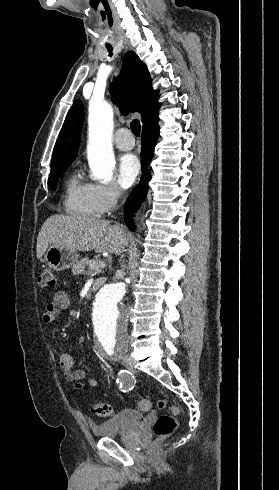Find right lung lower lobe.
<instances>
[{"instance_id":"1","label":"right lung lower lobe","mask_w":279,"mask_h":490,"mask_svg":"<svg viewBox=\"0 0 279 490\" xmlns=\"http://www.w3.org/2000/svg\"><path fill=\"white\" fill-rule=\"evenodd\" d=\"M159 136V126L153 129L144 130L142 133L141 144V163L142 176L139 184L133 189L125 203L124 220L127 226L134 231L135 226L132 221L133 212L138 209L144 201L148 192V182L150 180L149 162L153 159V151Z\"/></svg>"}]
</instances>
